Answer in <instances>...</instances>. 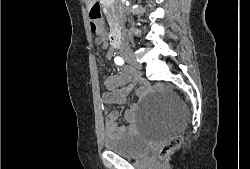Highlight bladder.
Here are the masks:
<instances>
[{"label": "bladder", "mask_w": 250, "mask_h": 169, "mask_svg": "<svg viewBox=\"0 0 250 169\" xmlns=\"http://www.w3.org/2000/svg\"><path fill=\"white\" fill-rule=\"evenodd\" d=\"M102 143L106 151H113L121 157H137L148 151L153 145H148L142 133H109L102 136Z\"/></svg>", "instance_id": "31cf9c89"}]
</instances>
